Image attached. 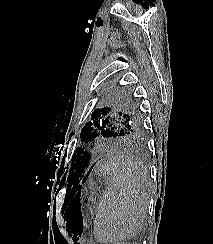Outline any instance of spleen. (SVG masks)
<instances>
[{"label":"spleen","instance_id":"obj_1","mask_svg":"<svg viewBox=\"0 0 213 244\" xmlns=\"http://www.w3.org/2000/svg\"><path fill=\"white\" fill-rule=\"evenodd\" d=\"M109 187L103 193L94 219L98 241L118 244L141 231L147 214V172L127 157L103 164Z\"/></svg>","mask_w":213,"mask_h":244}]
</instances>
